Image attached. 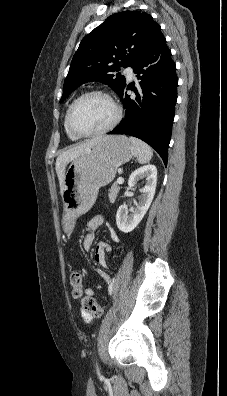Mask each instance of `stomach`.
<instances>
[{"mask_svg": "<svg viewBox=\"0 0 227 396\" xmlns=\"http://www.w3.org/2000/svg\"><path fill=\"white\" fill-rule=\"evenodd\" d=\"M134 155L126 136H103L72 161L64 177L63 231L71 234L78 216L91 209L99 188L111 183L119 166Z\"/></svg>", "mask_w": 227, "mask_h": 396, "instance_id": "0dacf381", "label": "stomach"}]
</instances>
